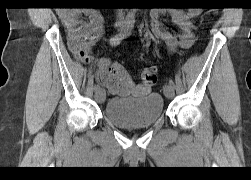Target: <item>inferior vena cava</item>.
<instances>
[{
    "instance_id": "inferior-vena-cava-1",
    "label": "inferior vena cava",
    "mask_w": 251,
    "mask_h": 180,
    "mask_svg": "<svg viewBox=\"0 0 251 180\" xmlns=\"http://www.w3.org/2000/svg\"><path fill=\"white\" fill-rule=\"evenodd\" d=\"M118 16H119V17H122V16H123L122 11H121V12L119 11Z\"/></svg>"
}]
</instances>
